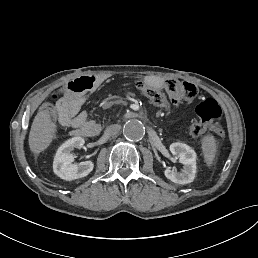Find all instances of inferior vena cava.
Here are the masks:
<instances>
[{
	"label": "inferior vena cava",
	"instance_id": "inferior-vena-cava-1",
	"mask_svg": "<svg viewBox=\"0 0 258 258\" xmlns=\"http://www.w3.org/2000/svg\"><path fill=\"white\" fill-rule=\"evenodd\" d=\"M121 129V126L118 125V124H113V125H110L106 128L105 130V134L108 135V136H113V135H116L119 133Z\"/></svg>",
	"mask_w": 258,
	"mask_h": 258
}]
</instances>
